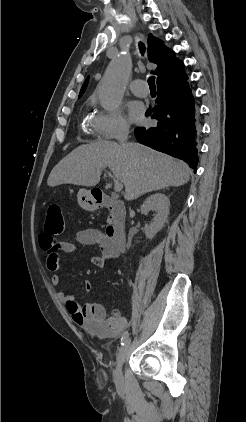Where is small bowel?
Masks as SVG:
<instances>
[{"instance_id":"c3829d8e","label":"small bowel","mask_w":246,"mask_h":422,"mask_svg":"<svg viewBox=\"0 0 246 422\" xmlns=\"http://www.w3.org/2000/svg\"><path fill=\"white\" fill-rule=\"evenodd\" d=\"M76 240L83 246L97 245L101 255L93 256L90 263L97 268H103L107 260L114 259L119 255V250L115 247L107 233L98 229L87 228L76 233ZM39 243L46 253V263L50 271L53 272L51 283L59 286L60 278V252L72 253L76 251V245L68 241H58L55 235L44 230L39 235ZM86 291H91L92 283H85ZM70 313L73 321L86 331L104 338L117 337L127 326L126 317L115 310L109 316L105 307L97 303H88L79 306L73 296L62 291L57 294Z\"/></svg>"}]
</instances>
